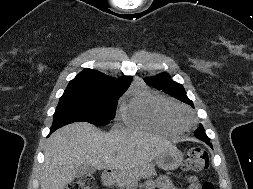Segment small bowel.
<instances>
[{
	"mask_svg": "<svg viewBox=\"0 0 253 189\" xmlns=\"http://www.w3.org/2000/svg\"><path fill=\"white\" fill-rule=\"evenodd\" d=\"M188 182V189H199V184L194 176H188L186 178ZM148 189H176L171 179L167 176H162L156 179L154 182L147 184Z\"/></svg>",
	"mask_w": 253,
	"mask_h": 189,
	"instance_id": "c3829d8e",
	"label": "small bowel"
}]
</instances>
